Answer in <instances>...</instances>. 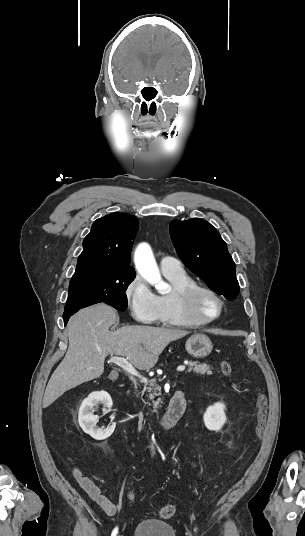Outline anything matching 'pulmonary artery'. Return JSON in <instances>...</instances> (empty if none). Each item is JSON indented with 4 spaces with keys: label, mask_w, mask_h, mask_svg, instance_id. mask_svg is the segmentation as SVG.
Returning a JSON list of instances; mask_svg holds the SVG:
<instances>
[{
    "label": "pulmonary artery",
    "mask_w": 305,
    "mask_h": 536,
    "mask_svg": "<svg viewBox=\"0 0 305 536\" xmlns=\"http://www.w3.org/2000/svg\"><path fill=\"white\" fill-rule=\"evenodd\" d=\"M159 265L163 273H181L184 271L179 261L169 256L161 257Z\"/></svg>",
    "instance_id": "1"
}]
</instances>
